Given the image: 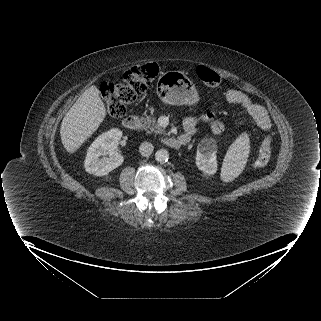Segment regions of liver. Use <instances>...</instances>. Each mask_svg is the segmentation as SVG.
Wrapping results in <instances>:
<instances>
[{"mask_svg": "<svg viewBox=\"0 0 321 321\" xmlns=\"http://www.w3.org/2000/svg\"><path fill=\"white\" fill-rule=\"evenodd\" d=\"M106 117L105 104L95 85L77 99L64 116L60 136L67 152L73 154L100 126Z\"/></svg>", "mask_w": 321, "mask_h": 321, "instance_id": "liver-1", "label": "liver"}]
</instances>
